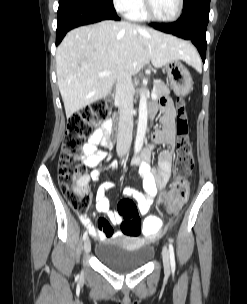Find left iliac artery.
Here are the masks:
<instances>
[{
  "instance_id": "left-iliac-artery-1",
  "label": "left iliac artery",
  "mask_w": 247,
  "mask_h": 304,
  "mask_svg": "<svg viewBox=\"0 0 247 304\" xmlns=\"http://www.w3.org/2000/svg\"><path fill=\"white\" fill-rule=\"evenodd\" d=\"M169 253H170V264L172 271L175 270V255H174V247L172 243L169 244Z\"/></svg>"
}]
</instances>
